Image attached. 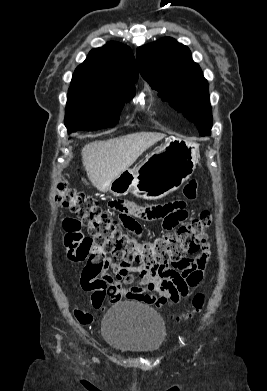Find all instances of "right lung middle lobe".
<instances>
[{"instance_id": "dd1d6c3e", "label": "right lung middle lobe", "mask_w": 267, "mask_h": 391, "mask_svg": "<svg viewBox=\"0 0 267 391\" xmlns=\"http://www.w3.org/2000/svg\"><path fill=\"white\" fill-rule=\"evenodd\" d=\"M134 93L108 91L90 83H71L64 120L68 132L115 126L124 101H129Z\"/></svg>"}]
</instances>
